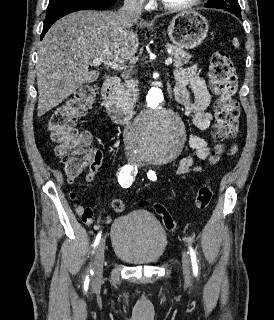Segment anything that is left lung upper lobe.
Returning a JSON list of instances; mask_svg holds the SVG:
<instances>
[{
    "instance_id": "left-lung-upper-lobe-1",
    "label": "left lung upper lobe",
    "mask_w": 274,
    "mask_h": 320,
    "mask_svg": "<svg viewBox=\"0 0 274 320\" xmlns=\"http://www.w3.org/2000/svg\"><path fill=\"white\" fill-rule=\"evenodd\" d=\"M205 7L225 9L231 13H241L240 5L237 0H209Z\"/></svg>"
}]
</instances>
